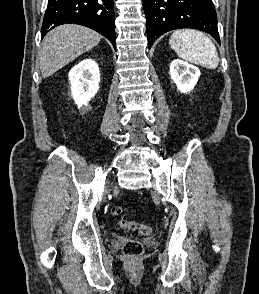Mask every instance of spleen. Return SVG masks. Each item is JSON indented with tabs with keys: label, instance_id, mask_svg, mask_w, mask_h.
<instances>
[{
	"label": "spleen",
	"instance_id": "3e777b00",
	"mask_svg": "<svg viewBox=\"0 0 259 294\" xmlns=\"http://www.w3.org/2000/svg\"><path fill=\"white\" fill-rule=\"evenodd\" d=\"M169 44L180 58L191 63L209 69H215L219 64L215 45L209 37L200 31L176 30L171 35Z\"/></svg>",
	"mask_w": 259,
	"mask_h": 294
}]
</instances>
